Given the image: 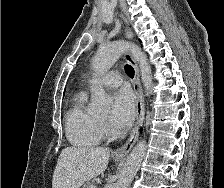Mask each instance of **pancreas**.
Wrapping results in <instances>:
<instances>
[{
  "instance_id": "1",
  "label": "pancreas",
  "mask_w": 224,
  "mask_h": 188,
  "mask_svg": "<svg viewBox=\"0 0 224 188\" xmlns=\"http://www.w3.org/2000/svg\"><path fill=\"white\" fill-rule=\"evenodd\" d=\"M95 181H91V182H87L83 185L82 188H91L92 186H94Z\"/></svg>"
}]
</instances>
